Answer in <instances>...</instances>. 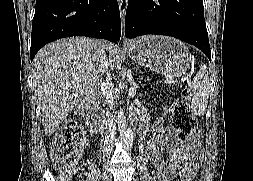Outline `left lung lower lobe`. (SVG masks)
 Segmentation results:
<instances>
[{"mask_svg": "<svg viewBox=\"0 0 253 181\" xmlns=\"http://www.w3.org/2000/svg\"><path fill=\"white\" fill-rule=\"evenodd\" d=\"M146 34L178 38L196 46L211 60L202 0H129L125 36Z\"/></svg>", "mask_w": 253, "mask_h": 181, "instance_id": "left-lung-lower-lobe-1", "label": "left lung lower lobe"}]
</instances>
